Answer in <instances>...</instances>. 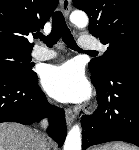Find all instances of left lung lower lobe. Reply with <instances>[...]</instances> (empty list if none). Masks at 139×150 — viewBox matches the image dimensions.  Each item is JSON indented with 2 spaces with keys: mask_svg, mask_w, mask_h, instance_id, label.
Returning a JSON list of instances; mask_svg holds the SVG:
<instances>
[{
  "mask_svg": "<svg viewBox=\"0 0 139 150\" xmlns=\"http://www.w3.org/2000/svg\"><path fill=\"white\" fill-rule=\"evenodd\" d=\"M98 109L83 117L82 150L110 141H125L139 147V49L115 64L108 79L92 73Z\"/></svg>",
  "mask_w": 139,
  "mask_h": 150,
  "instance_id": "obj_1",
  "label": "left lung lower lobe"
}]
</instances>
